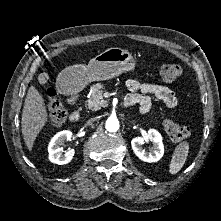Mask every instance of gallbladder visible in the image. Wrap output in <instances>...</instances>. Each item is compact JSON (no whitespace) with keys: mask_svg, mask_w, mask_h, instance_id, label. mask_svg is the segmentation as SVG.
<instances>
[{"mask_svg":"<svg viewBox=\"0 0 221 221\" xmlns=\"http://www.w3.org/2000/svg\"><path fill=\"white\" fill-rule=\"evenodd\" d=\"M46 79V74H40L39 75V81L44 82Z\"/></svg>","mask_w":221,"mask_h":221,"instance_id":"obj_1","label":"gallbladder"}]
</instances>
